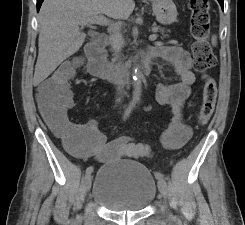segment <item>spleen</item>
<instances>
[{
    "instance_id": "3e777b00",
    "label": "spleen",
    "mask_w": 245,
    "mask_h": 225,
    "mask_svg": "<svg viewBox=\"0 0 245 225\" xmlns=\"http://www.w3.org/2000/svg\"><path fill=\"white\" fill-rule=\"evenodd\" d=\"M211 41H212V44L213 45H216V43H217V37L216 36H213L212 39H211Z\"/></svg>"
}]
</instances>
